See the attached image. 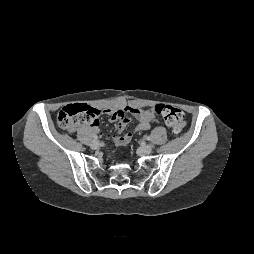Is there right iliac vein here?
Segmentation results:
<instances>
[{"instance_id": "1", "label": "right iliac vein", "mask_w": 254, "mask_h": 254, "mask_svg": "<svg viewBox=\"0 0 254 254\" xmlns=\"http://www.w3.org/2000/svg\"><path fill=\"white\" fill-rule=\"evenodd\" d=\"M90 146L92 149H97L100 146V142L98 140H93Z\"/></svg>"}]
</instances>
